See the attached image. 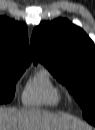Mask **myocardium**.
<instances>
[{
  "label": "myocardium",
  "instance_id": "f54148a6",
  "mask_svg": "<svg viewBox=\"0 0 95 130\" xmlns=\"http://www.w3.org/2000/svg\"><path fill=\"white\" fill-rule=\"evenodd\" d=\"M68 99H69L70 101H73V100H74V96H73V95H68Z\"/></svg>",
  "mask_w": 95,
  "mask_h": 130
}]
</instances>
